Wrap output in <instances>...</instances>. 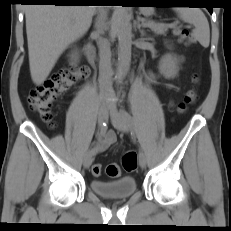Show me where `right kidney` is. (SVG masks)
<instances>
[{"label":"right kidney","instance_id":"1","mask_svg":"<svg viewBox=\"0 0 231 231\" xmlns=\"http://www.w3.org/2000/svg\"><path fill=\"white\" fill-rule=\"evenodd\" d=\"M71 60L73 63H76L78 62L79 60V54L77 51H74L72 54H71Z\"/></svg>","mask_w":231,"mask_h":231}]
</instances>
